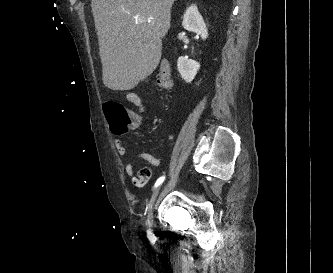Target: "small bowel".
<instances>
[{"mask_svg":"<svg viewBox=\"0 0 333 273\" xmlns=\"http://www.w3.org/2000/svg\"><path fill=\"white\" fill-rule=\"evenodd\" d=\"M127 98H128V101L131 102L135 107V111L132 112V117L133 118H138L136 123H134L130 128L131 129L139 128L141 126L142 122H143V118L146 117V112L141 111V110H144V108H145L144 102L135 93H130ZM114 133L117 135V137L115 138L116 150H117L119 155L125 156L127 154V149L123 145L121 139L119 138V134H121V132H114ZM134 157L136 159L143 160V161L147 162L148 164H150L152 166H160L161 165V159L159 157L149 153V152H144V151L138 152L134 155ZM124 169H125L126 174L133 175L134 170H135V164L133 162H128L125 165ZM135 184L137 186H142V185H139L136 182H135Z\"/></svg>","mask_w":333,"mask_h":273,"instance_id":"small-bowel-1","label":"small bowel"}]
</instances>
